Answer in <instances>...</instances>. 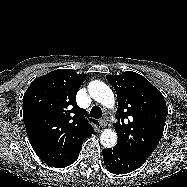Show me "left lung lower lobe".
I'll return each mask as SVG.
<instances>
[{
  "label": "left lung lower lobe",
  "instance_id": "left-lung-lower-lobe-1",
  "mask_svg": "<svg viewBox=\"0 0 187 187\" xmlns=\"http://www.w3.org/2000/svg\"><path fill=\"white\" fill-rule=\"evenodd\" d=\"M102 154L107 170L113 174L132 172L146 161V159L132 155L118 146L103 149Z\"/></svg>",
  "mask_w": 187,
  "mask_h": 187
}]
</instances>
